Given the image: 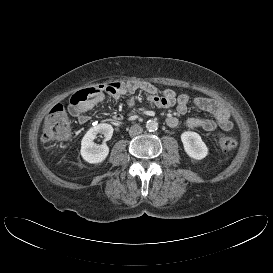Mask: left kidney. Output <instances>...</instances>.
<instances>
[{
	"mask_svg": "<svg viewBox=\"0 0 273 273\" xmlns=\"http://www.w3.org/2000/svg\"><path fill=\"white\" fill-rule=\"evenodd\" d=\"M181 141L189 157L201 160L207 156L208 148L198 133L185 131L181 134Z\"/></svg>",
	"mask_w": 273,
	"mask_h": 273,
	"instance_id": "1",
	"label": "left kidney"
}]
</instances>
